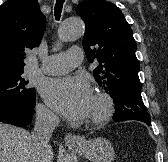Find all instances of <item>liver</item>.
<instances>
[{
	"label": "liver",
	"mask_w": 168,
	"mask_h": 162,
	"mask_svg": "<svg viewBox=\"0 0 168 162\" xmlns=\"http://www.w3.org/2000/svg\"><path fill=\"white\" fill-rule=\"evenodd\" d=\"M31 134L21 128L0 122V162H29ZM42 162L53 161V150L45 151Z\"/></svg>",
	"instance_id": "obj_1"
}]
</instances>
